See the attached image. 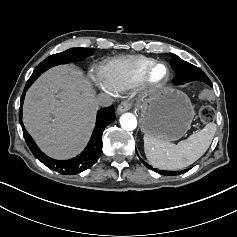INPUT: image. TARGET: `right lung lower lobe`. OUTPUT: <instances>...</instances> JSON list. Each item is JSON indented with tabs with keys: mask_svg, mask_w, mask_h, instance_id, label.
Instances as JSON below:
<instances>
[{
	"mask_svg": "<svg viewBox=\"0 0 237 237\" xmlns=\"http://www.w3.org/2000/svg\"><path fill=\"white\" fill-rule=\"evenodd\" d=\"M36 80V79H35ZM31 77L29 78L26 86L24 88V92L21 96V103L19 109V121L22 126L23 135L25 141L30 148L33 155L40 160L44 165L49 167L50 169L57 171L61 174L65 175H76L88 168H90L93 164L97 162L102 152V134L106 126H108L115 119V109L110 106L101 109L97 114V121L95 125V129L93 131L92 137L88 146L85 150L78 155L77 157L60 161L52 159L46 156L36 145L30 134L26 131L23 123H22V107L24 102V97L27 89L32 85L35 81Z\"/></svg>",
	"mask_w": 237,
	"mask_h": 237,
	"instance_id": "obj_1",
	"label": "right lung lower lobe"
}]
</instances>
